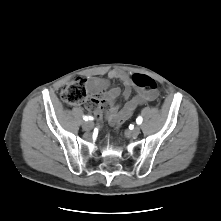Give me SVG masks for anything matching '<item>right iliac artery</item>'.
Returning a JSON list of instances; mask_svg holds the SVG:
<instances>
[{
	"label": "right iliac artery",
	"mask_w": 221,
	"mask_h": 221,
	"mask_svg": "<svg viewBox=\"0 0 221 221\" xmlns=\"http://www.w3.org/2000/svg\"><path fill=\"white\" fill-rule=\"evenodd\" d=\"M83 119H84L85 121H88V120H93V118H92V117H90V116H84V117H83Z\"/></svg>",
	"instance_id": "82829eb1"
}]
</instances>
